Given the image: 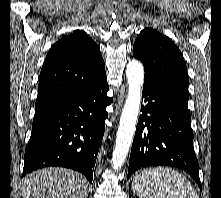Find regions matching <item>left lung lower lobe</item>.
Segmentation results:
<instances>
[{
  "instance_id": "0a47b994",
  "label": "left lung lower lobe",
  "mask_w": 221,
  "mask_h": 198,
  "mask_svg": "<svg viewBox=\"0 0 221 198\" xmlns=\"http://www.w3.org/2000/svg\"><path fill=\"white\" fill-rule=\"evenodd\" d=\"M142 100L146 105L141 106L127 179L138 169L168 165L189 173L201 188L189 111L149 80H144Z\"/></svg>"
}]
</instances>
